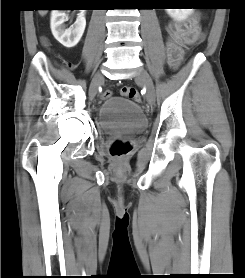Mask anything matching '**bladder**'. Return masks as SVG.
I'll return each mask as SVG.
<instances>
[{"mask_svg":"<svg viewBox=\"0 0 245 278\" xmlns=\"http://www.w3.org/2000/svg\"><path fill=\"white\" fill-rule=\"evenodd\" d=\"M98 124L106 134H135L147 127L142 109L123 97L105 99L98 111Z\"/></svg>","mask_w":245,"mask_h":278,"instance_id":"bladder-1","label":"bladder"}]
</instances>
